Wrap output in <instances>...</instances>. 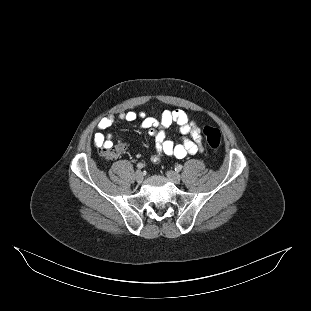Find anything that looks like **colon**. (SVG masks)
Returning <instances> with one entry per match:
<instances>
[{
  "label": "colon",
  "instance_id": "colon-1",
  "mask_svg": "<svg viewBox=\"0 0 311 311\" xmlns=\"http://www.w3.org/2000/svg\"><path fill=\"white\" fill-rule=\"evenodd\" d=\"M203 135L210 148L217 152L221 146V132L219 129L212 126H205L203 128ZM125 147L124 142L119 141L109 146H102L99 151L106 160H114L123 154Z\"/></svg>",
  "mask_w": 311,
  "mask_h": 311
}]
</instances>
